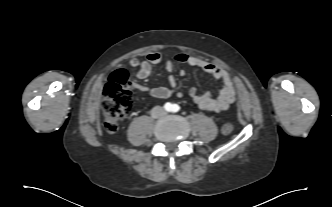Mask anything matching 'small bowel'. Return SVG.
<instances>
[{
	"label": "small bowel",
	"instance_id": "small-bowel-1",
	"mask_svg": "<svg viewBox=\"0 0 332 207\" xmlns=\"http://www.w3.org/2000/svg\"><path fill=\"white\" fill-rule=\"evenodd\" d=\"M165 64L168 83L167 87L148 88L144 85H137L136 89L139 91L148 92L151 97L156 99H165L172 96L177 87V80L174 75V64H187L192 67L201 69L207 75L220 80L223 83L219 94L213 97L210 92L199 94L196 88L189 90V95L192 100L199 106V108L215 113L226 111L235 101L236 91L231 78V75L221 67L205 60L198 59L185 53H178L173 59L165 58L159 52H151L146 59L132 58L129 64L133 68H137V79H146L152 73L153 67L161 63ZM181 76L185 75V70H180Z\"/></svg>",
	"mask_w": 332,
	"mask_h": 207
}]
</instances>
